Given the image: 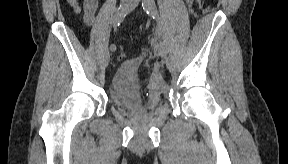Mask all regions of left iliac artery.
Wrapping results in <instances>:
<instances>
[{
  "label": "left iliac artery",
  "instance_id": "left-iliac-artery-1",
  "mask_svg": "<svg viewBox=\"0 0 288 164\" xmlns=\"http://www.w3.org/2000/svg\"><path fill=\"white\" fill-rule=\"evenodd\" d=\"M142 7H143L144 11L149 16H151L156 22L159 20V15H158V11H157L154 0H143ZM156 34H157L156 38L159 41V45L163 46L164 43L161 40V28L159 27L158 24H156Z\"/></svg>",
  "mask_w": 288,
  "mask_h": 164
}]
</instances>
